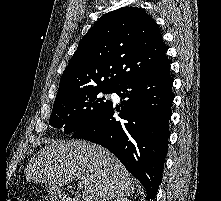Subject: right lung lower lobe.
Segmentation results:
<instances>
[{
    "label": "right lung lower lobe",
    "mask_w": 221,
    "mask_h": 201,
    "mask_svg": "<svg viewBox=\"0 0 221 201\" xmlns=\"http://www.w3.org/2000/svg\"><path fill=\"white\" fill-rule=\"evenodd\" d=\"M170 64L166 60L156 69L129 79L114 92L121 98L96 119L72 134L111 151L154 199L161 183L168 151L169 126L173 101ZM117 111L123 119L117 121Z\"/></svg>",
    "instance_id": "1"
}]
</instances>
